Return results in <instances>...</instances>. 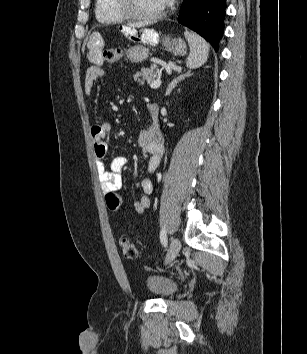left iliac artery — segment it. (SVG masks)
Returning a JSON list of instances; mask_svg holds the SVG:
<instances>
[{"label":"left iliac artery","instance_id":"44dca946","mask_svg":"<svg viewBox=\"0 0 307 354\" xmlns=\"http://www.w3.org/2000/svg\"><path fill=\"white\" fill-rule=\"evenodd\" d=\"M160 240H161V243L166 247L167 246V234H166L165 229H162L160 232Z\"/></svg>","mask_w":307,"mask_h":354}]
</instances>
